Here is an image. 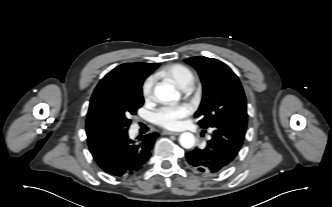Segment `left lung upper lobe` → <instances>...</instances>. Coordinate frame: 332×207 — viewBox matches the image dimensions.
<instances>
[{
    "label": "left lung upper lobe",
    "instance_id": "5c2ea615",
    "mask_svg": "<svg viewBox=\"0 0 332 207\" xmlns=\"http://www.w3.org/2000/svg\"><path fill=\"white\" fill-rule=\"evenodd\" d=\"M199 73L203 98L195 117L200 127L234 126L246 129V98L238 77L223 62L202 56L184 60Z\"/></svg>",
    "mask_w": 332,
    "mask_h": 207
}]
</instances>
